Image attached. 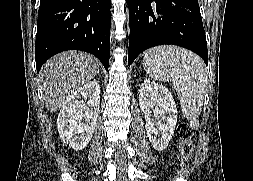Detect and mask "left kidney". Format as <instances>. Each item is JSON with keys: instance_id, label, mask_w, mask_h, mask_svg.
Segmentation results:
<instances>
[{"instance_id": "1", "label": "left kidney", "mask_w": 253, "mask_h": 181, "mask_svg": "<svg viewBox=\"0 0 253 181\" xmlns=\"http://www.w3.org/2000/svg\"><path fill=\"white\" fill-rule=\"evenodd\" d=\"M139 106L145 115L149 141L157 151H163L172 139L177 123V108L170 91L145 79L139 90Z\"/></svg>"}]
</instances>
